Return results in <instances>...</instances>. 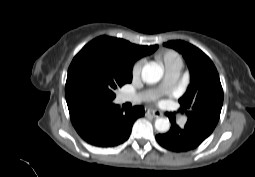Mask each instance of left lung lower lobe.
Here are the masks:
<instances>
[{
    "mask_svg": "<svg viewBox=\"0 0 255 177\" xmlns=\"http://www.w3.org/2000/svg\"><path fill=\"white\" fill-rule=\"evenodd\" d=\"M211 132L192 126L188 123L183 128L171 122L170 130L156 135L158 143L174 152H185L198 147Z\"/></svg>",
    "mask_w": 255,
    "mask_h": 177,
    "instance_id": "obj_1",
    "label": "left lung lower lobe"
}]
</instances>
